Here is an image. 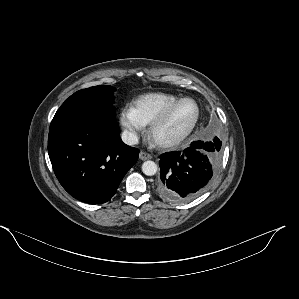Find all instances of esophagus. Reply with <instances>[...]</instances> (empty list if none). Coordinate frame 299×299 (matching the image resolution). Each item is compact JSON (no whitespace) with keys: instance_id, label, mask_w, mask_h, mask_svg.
I'll return each mask as SVG.
<instances>
[{"instance_id":"esophagus-1","label":"esophagus","mask_w":299,"mask_h":299,"mask_svg":"<svg viewBox=\"0 0 299 299\" xmlns=\"http://www.w3.org/2000/svg\"><path fill=\"white\" fill-rule=\"evenodd\" d=\"M139 158H140L141 160H148V159H151V158H152V155L149 154V153H147V152L141 151V152L139 153Z\"/></svg>"}]
</instances>
